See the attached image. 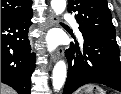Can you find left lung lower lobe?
Returning a JSON list of instances; mask_svg holds the SVG:
<instances>
[{"instance_id":"0a47b994","label":"left lung lower lobe","mask_w":121,"mask_h":94,"mask_svg":"<svg viewBox=\"0 0 121 94\" xmlns=\"http://www.w3.org/2000/svg\"><path fill=\"white\" fill-rule=\"evenodd\" d=\"M83 53L74 44L66 50L68 76L63 94L88 83H100L121 92V62L116 40L82 33Z\"/></svg>"}]
</instances>
